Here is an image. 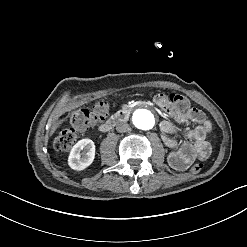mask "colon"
<instances>
[{
  "instance_id": "colon-1",
  "label": "colon",
  "mask_w": 247,
  "mask_h": 247,
  "mask_svg": "<svg viewBox=\"0 0 247 247\" xmlns=\"http://www.w3.org/2000/svg\"><path fill=\"white\" fill-rule=\"evenodd\" d=\"M167 99L177 108L183 109L190 105V100L186 94L168 93ZM105 103H100L93 109L79 108L68 116L71 127L59 131L54 140V149L57 152L66 153L71 150L75 144L78 133L98 123L101 115L105 113ZM202 169V164L197 162L190 167V171L197 173Z\"/></svg>"
}]
</instances>
